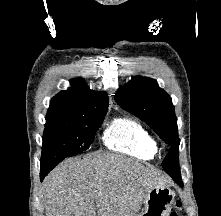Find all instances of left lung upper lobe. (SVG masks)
Masks as SVG:
<instances>
[{
	"label": "left lung upper lobe",
	"mask_w": 221,
	"mask_h": 216,
	"mask_svg": "<svg viewBox=\"0 0 221 216\" xmlns=\"http://www.w3.org/2000/svg\"><path fill=\"white\" fill-rule=\"evenodd\" d=\"M115 101L126 111L145 121L171 145L162 166L173 179L180 177L177 119L171 97L154 79L136 76L115 94Z\"/></svg>",
	"instance_id": "obj_1"
}]
</instances>
